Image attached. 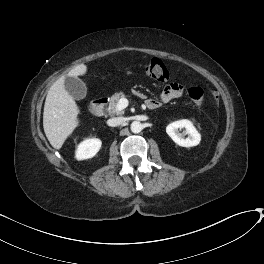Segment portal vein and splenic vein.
I'll list each match as a JSON object with an SVG mask.
<instances>
[{
    "mask_svg": "<svg viewBox=\"0 0 264 264\" xmlns=\"http://www.w3.org/2000/svg\"><path fill=\"white\" fill-rule=\"evenodd\" d=\"M128 104H129V100L128 99L121 98L119 100V102L117 103L116 109L118 111H121V110L125 109L128 106Z\"/></svg>",
    "mask_w": 264,
    "mask_h": 264,
    "instance_id": "1",
    "label": "portal vein and splenic vein"
}]
</instances>
